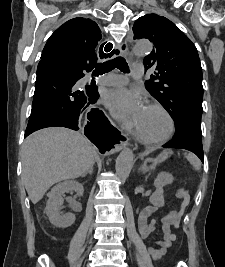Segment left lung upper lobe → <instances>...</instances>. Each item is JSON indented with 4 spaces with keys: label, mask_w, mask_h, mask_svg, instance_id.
<instances>
[{
    "label": "left lung upper lobe",
    "mask_w": 225,
    "mask_h": 267,
    "mask_svg": "<svg viewBox=\"0 0 225 267\" xmlns=\"http://www.w3.org/2000/svg\"><path fill=\"white\" fill-rule=\"evenodd\" d=\"M134 38L149 39L152 52L144 58L146 69L155 72L145 82L175 122L176 130L191 112L202 114V68L192 41L170 20L157 14L137 19Z\"/></svg>",
    "instance_id": "left-lung-upper-lobe-1"
}]
</instances>
